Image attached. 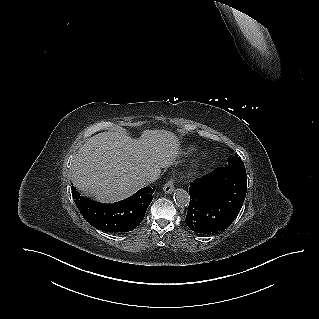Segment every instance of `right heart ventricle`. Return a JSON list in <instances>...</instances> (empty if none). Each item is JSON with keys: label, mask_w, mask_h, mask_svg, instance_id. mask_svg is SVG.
<instances>
[{"label": "right heart ventricle", "mask_w": 319, "mask_h": 319, "mask_svg": "<svg viewBox=\"0 0 319 319\" xmlns=\"http://www.w3.org/2000/svg\"><path fill=\"white\" fill-rule=\"evenodd\" d=\"M191 151H192V149L188 150V152H191Z\"/></svg>", "instance_id": "right-heart-ventricle-1"}]
</instances>
